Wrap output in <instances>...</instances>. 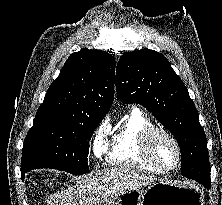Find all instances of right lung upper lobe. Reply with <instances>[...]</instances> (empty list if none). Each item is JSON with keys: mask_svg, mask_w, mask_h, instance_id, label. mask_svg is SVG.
Returning a JSON list of instances; mask_svg holds the SVG:
<instances>
[{"mask_svg": "<svg viewBox=\"0 0 222 205\" xmlns=\"http://www.w3.org/2000/svg\"><path fill=\"white\" fill-rule=\"evenodd\" d=\"M115 60L98 50L72 53L49 87L35 118H103L114 98Z\"/></svg>", "mask_w": 222, "mask_h": 205, "instance_id": "cb5924a9", "label": "right lung upper lobe"}]
</instances>
